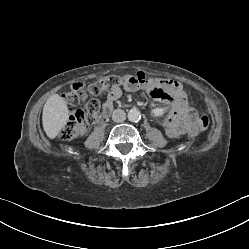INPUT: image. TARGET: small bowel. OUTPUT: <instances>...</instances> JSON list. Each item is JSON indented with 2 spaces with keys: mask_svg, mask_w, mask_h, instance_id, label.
<instances>
[{
  "mask_svg": "<svg viewBox=\"0 0 249 249\" xmlns=\"http://www.w3.org/2000/svg\"><path fill=\"white\" fill-rule=\"evenodd\" d=\"M128 78H142L140 83L124 84L108 90L104 102L103 115H108L114 103L122 96L123 90L135 92L145 90L154 99L165 100L169 103L170 118L165 124L166 132L170 137L177 138L182 135L195 137L197 135L196 110L189 104L183 86L176 80L147 77L143 72Z\"/></svg>",
  "mask_w": 249,
  "mask_h": 249,
  "instance_id": "obj_1",
  "label": "small bowel"
}]
</instances>
